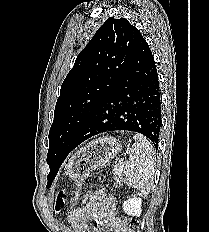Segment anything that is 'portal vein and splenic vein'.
<instances>
[{"instance_id":"1","label":"portal vein and splenic vein","mask_w":209,"mask_h":232,"mask_svg":"<svg viewBox=\"0 0 209 232\" xmlns=\"http://www.w3.org/2000/svg\"><path fill=\"white\" fill-rule=\"evenodd\" d=\"M129 160H132V158H129ZM123 161H124V159H120L118 165H122Z\"/></svg>"}]
</instances>
